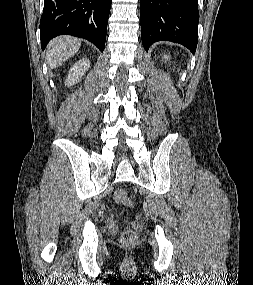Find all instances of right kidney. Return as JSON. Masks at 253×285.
<instances>
[{
  "label": "right kidney",
  "instance_id": "ca27d5eb",
  "mask_svg": "<svg viewBox=\"0 0 253 285\" xmlns=\"http://www.w3.org/2000/svg\"><path fill=\"white\" fill-rule=\"evenodd\" d=\"M90 68V60L87 58L80 59L70 69L65 85L72 86L76 84L86 71Z\"/></svg>",
  "mask_w": 253,
  "mask_h": 285
}]
</instances>
